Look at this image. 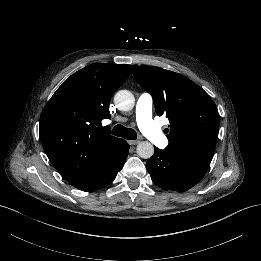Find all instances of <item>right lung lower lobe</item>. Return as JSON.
Listing matches in <instances>:
<instances>
[{
  "instance_id": "98d812e1",
  "label": "right lung lower lobe",
  "mask_w": 261,
  "mask_h": 261,
  "mask_svg": "<svg viewBox=\"0 0 261 261\" xmlns=\"http://www.w3.org/2000/svg\"><path fill=\"white\" fill-rule=\"evenodd\" d=\"M129 145L120 141L112 153L97 167L69 180L74 187L86 191L99 190L113 182L127 158Z\"/></svg>"
}]
</instances>
